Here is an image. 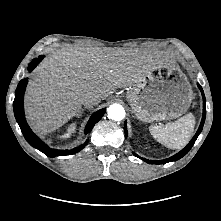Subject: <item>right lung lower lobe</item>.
<instances>
[{
    "label": "right lung lower lobe",
    "instance_id": "right-lung-lower-lobe-1",
    "mask_svg": "<svg viewBox=\"0 0 221 221\" xmlns=\"http://www.w3.org/2000/svg\"><path fill=\"white\" fill-rule=\"evenodd\" d=\"M43 58L44 56L41 55L38 58L33 59L32 62H30L28 66V71L31 72ZM27 82H28V78L22 79L19 82L17 89L15 91L16 97L13 102V109H14L16 121L18 122L20 129L25 139L27 140V142L34 148L43 152L48 157L70 155V154L77 153L81 149H83L85 145L87 144V141L83 145L76 147L72 150H68V151L51 149L32 132V130L30 129V127L28 126L26 122V119L24 116V108H23V96H24ZM104 113H105V108L100 109L92 114V116L90 117L85 127V134L91 131L95 123H97L102 118Z\"/></svg>",
    "mask_w": 221,
    "mask_h": 221
}]
</instances>
